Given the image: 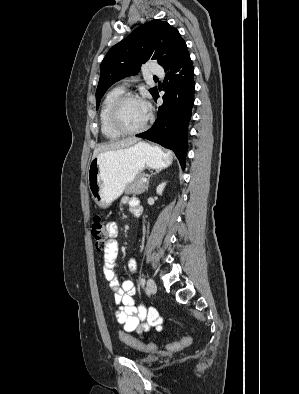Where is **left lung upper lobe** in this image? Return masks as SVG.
I'll return each instance as SVG.
<instances>
[{
	"mask_svg": "<svg viewBox=\"0 0 299 394\" xmlns=\"http://www.w3.org/2000/svg\"><path fill=\"white\" fill-rule=\"evenodd\" d=\"M185 46L178 30L167 22L155 19L138 27L104 57L96 90V109L106 90L116 81L136 74L148 60H157L163 68L167 67ZM149 91L153 96L157 88Z\"/></svg>",
	"mask_w": 299,
	"mask_h": 394,
	"instance_id": "5c2ea615",
	"label": "left lung upper lobe"
}]
</instances>
